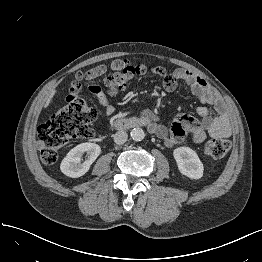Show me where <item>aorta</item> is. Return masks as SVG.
<instances>
[{"mask_svg":"<svg viewBox=\"0 0 262 262\" xmlns=\"http://www.w3.org/2000/svg\"><path fill=\"white\" fill-rule=\"evenodd\" d=\"M130 135L134 141H141L145 137V132L143 131L142 128L137 127L132 129Z\"/></svg>","mask_w":262,"mask_h":262,"instance_id":"762f6f07","label":"aorta"}]
</instances>
